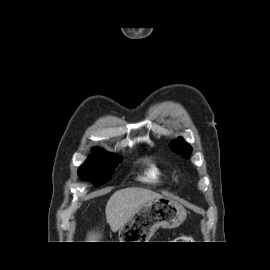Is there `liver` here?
<instances>
[{
	"label": "liver",
	"mask_w": 270,
	"mask_h": 270,
	"mask_svg": "<svg viewBox=\"0 0 270 270\" xmlns=\"http://www.w3.org/2000/svg\"><path fill=\"white\" fill-rule=\"evenodd\" d=\"M160 197L162 196L159 193L139 187L120 189L113 193L109 198L105 209L106 220L109 223L111 230L113 232L118 231L129 221L139 208L147 202ZM101 238L102 233L99 231L89 232L87 236V240H92L88 242H99L95 240H100Z\"/></svg>",
	"instance_id": "obj_1"
}]
</instances>
